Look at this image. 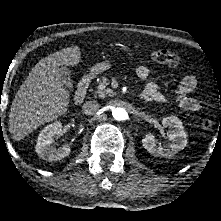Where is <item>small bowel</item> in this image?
I'll use <instances>...</instances> for the list:
<instances>
[{
    "label": "small bowel",
    "instance_id": "c3829d8e",
    "mask_svg": "<svg viewBox=\"0 0 221 221\" xmlns=\"http://www.w3.org/2000/svg\"><path fill=\"white\" fill-rule=\"evenodd\" d=\"M136 74L141 80H146L150 76V70L148 67L141 65L136 69ZM197 83V78L194 75H188L183 78L177 88L175 98L176 102L180 107L187 111H200L204 106L202 101L190 95L197 87ZM140 98L149 103H163L167 101V98L161 92L159 86L153 82L149 83L145 87L143 92L140 94Z\"/></svg>",
    "mask_w": 221,
    "mask_h": 221
}]
</instances>
